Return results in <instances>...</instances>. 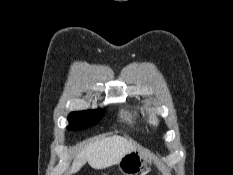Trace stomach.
Masks as SVG:
<instances>
[{"label": "stomach", "mask_w": 233, "mask_h": 175, "mask_svg": "<svg viewBox=\"0 0 233 175\" xmlns=\"http://www.w3.org/2000/svg\"><path fill=\"white\" fill-rule=\"evenodd\" d=\"M148 162L146 151L135 149L121 158L118 167L124 175H138L147 168Z\"/></svg>", "instance_id": "1"}]
</instances>
